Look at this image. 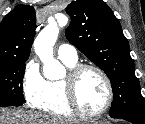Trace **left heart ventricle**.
<instances>
[{
	"mask_svg": "<svg viewBox=\"0 0 145 124\" xmlns=\"http://www.w3.org/2000/svg\"><path fill=\"white\" fill-rule=\"evenodd\" d=\"M79 101L87 112L99 110L107 100V89L101 76L93 71H85L77 83Z\"/></svg>",
	"mask_w": 145,
	"mask_h": 124,
	"instance_id": "obj_1",
	"label": "left heart ventricle"
}]
</instances>
